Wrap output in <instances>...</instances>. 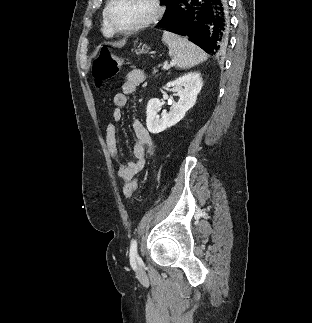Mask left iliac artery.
Here are the masks:
<instances>
[{
  "mask_svg": "<svg viewBox=\"0 0 312 323\" xmlns=\"http://www.w3.org/2000/svg\"><path fill=\"white\" fill-rule=\"evenodd\" d=\"M130 262L135 267V258L137 257V241L134 239L130 244Z\"/></svg>",
  "mask_w": 312,
  "mask_h": 323,
  "instance_id": "1",
  "label": "left iliac artery"
}]
</instances>
